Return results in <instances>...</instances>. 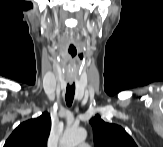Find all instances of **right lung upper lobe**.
Instances as JSON below:
<instances>
[{"label": "right lung upper lobe", "instance_id": "cb5924a9", "mask_svg": "<svg viewBox=\"0 0 163 147\" xmlns=\"http://www.w3.org/2000/svg\"><path fill=\"white\" fill-rule=\"evenodd\" d=\"M51 129L49 113L21 123L9 136L4 147H47Z\"/></svg>", "mask_w": 163, "mask_h": 147}]
</instances>
